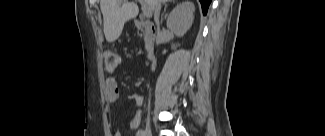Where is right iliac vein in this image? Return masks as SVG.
<instances>
[{"label": "right iliac vein", "mask_w": 325, "mask_h": 136, "mask_svg": "<svg viewBox=\"0 0 325 136\" xmlns=\"http://www.w3.org/2000/svg\"><path fill=\"white\" fill-rule=\"evenodd\" d=\"M145 133H146V136H152V131H151L150 125L146 126Z\"/></svg>", "instance_id": "right-iliac-vein-1"}]
</instances>
